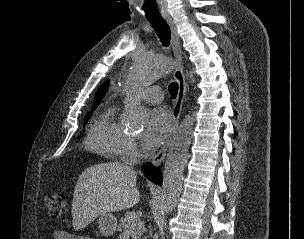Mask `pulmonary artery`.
Segmentation results:
<instances>
[{"label": "pulmonary artery", "instance_id": "1", "mask_svg": "<svg viewBox=\"0 0 304 239\" xmlns=\"http://www.w3.org/2000/svg\"><path fill=\"white\" fill-rule=\"evenodd\" d=\"M143 102L150 104H158L163 100V91L160 87L154 86L144 89L140 95Z\"/></svg>", "mask_w": 304, "mask_h": 239}]
</instances>
